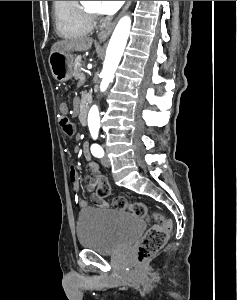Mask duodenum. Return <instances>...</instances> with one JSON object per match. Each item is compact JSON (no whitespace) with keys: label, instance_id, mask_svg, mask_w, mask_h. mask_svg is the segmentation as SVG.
<instances>
[{"label":"duodenum","instance_id":"410a0bca","mask_svg":"<svg viewBox=\"0 0 237 300\" xmlns=\"http://www.w3.org/2000/svg\"><path fill=\"white\" fill-rule=\"evenodd\" d=\"M79 121L82 126H86L87 124V113L85 107L82 105L79 110Z\"/></svg>","mask_w":237,"mask_h":300}]
</instances>
